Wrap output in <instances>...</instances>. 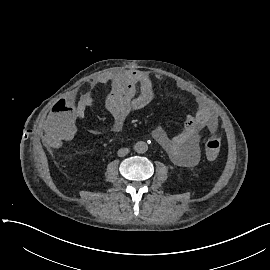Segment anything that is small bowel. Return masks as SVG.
Instances as JSON below:
<instances>
[{"instance_id":"c3829d8e","label":"small bowel","mask_w":270,"mask_h":270,"mask_svg":"<svg viewBox=\"0 0 270 270\" xmlns=\"http://www.w3.org/2000/svg\"><path fill=\"white\" fill-rule=\"evenodd\" d=\"M160 76L146 71L129 69L103 74L90 83L89 89L80 98L74 93H65L54 105L50 121L46 124V141L51 146L74 144L79 139L76 118H83L94 104L97 89L110 85L106 107L112 115L110 131L117 135L124 128L128 115L146 107L154 98L156 81ZM137 90L139 93L137 94ZM195 114L186 118L183 129L169 136L163 127L153 131L156 142L177 165L195 166L199 162L198 135L201 130L217 133L218 120L214 112L199 97ZM98 133L97 130H91Z\"/></svg>"}]
</instances>
